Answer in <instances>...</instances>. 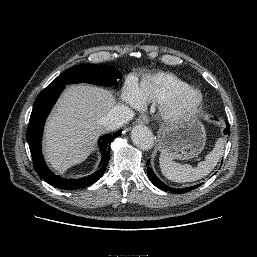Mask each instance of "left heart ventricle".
I'll return each instance as SVG.
<instances>
[{"label": "left heart ventricle", "mask_w": 257, "mask_h": 257, "mask_svg": "<svg viewBox=\"0 0 257 257\" xmlns=\"http://www.w3.org/2000/svg\"><path fill=\"white\" fill-rule=\"evenodd\" d=\"M194 100H195L194 95H188V96L183 98L182 105L183 106H190L194 102Z\"/></svg>", "instance_id": "b2bd125f"}]
</instances>
